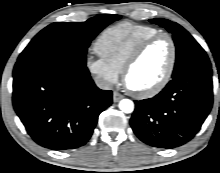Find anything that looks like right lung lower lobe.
Wrapping results in <instances>:
<instances>
[{"mask_svg": "<svg viewBox=\"0 0 220 173\" xmlns=\"http://www.w3.org/2000/svg\"><path fill=\"white\" fill-rule=\"evenodd\" d=\"M13 105L28 134L53 150L86 144L112 92L97 88L86 64L52 54L17 61Z\"/></svg>", "mask_w": 220, "mask_h": 173, "instance_id": "1", "label": "right lung lower lobe"}]
</instances>
